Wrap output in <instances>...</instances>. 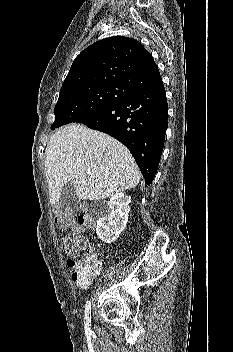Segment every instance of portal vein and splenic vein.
I'll list each match as a JSON object with an SVG mask.
<instances>
[{
  "label": "portal vein and splenic vein",
  "instance_id": "obj_1",
  "mask_svg": "<svg viewBox=\"0 0 233 352\" xmlns=\"http://www.w3.org/2000/svg\"><path fill=\"white\" fill-rule=\"evenodd\" d=\"M86 173H88V174H89V173H90V170H86Z\"/></svg>",
  "mask_w": 233,
  "mask_h": 352
}]
</instances>
